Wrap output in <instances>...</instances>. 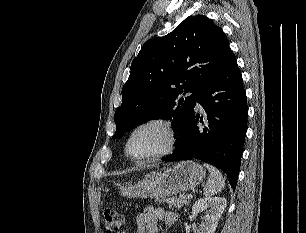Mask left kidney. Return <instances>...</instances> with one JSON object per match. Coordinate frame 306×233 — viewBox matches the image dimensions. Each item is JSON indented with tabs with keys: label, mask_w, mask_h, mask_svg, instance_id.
I'll use <instances>...</instances> for the list:
<instances>
[{
	"label": "left kidney",
	"mask_w": 306,
	"mask_h": 233,
	"mask_svg": "<svg viewBox=\"0 0 306 233\" xmlns=\"http://www.w3.org/2000/svg\"><path fill=\"white\" fill-rule=\"evenodd\" d=\"M227 202L223 197L201 198L192 207L193 214L205 211L203 221L195 233H214Z\"/></svg>",
	"instance_id": "obj_1"
}]
</instances>
